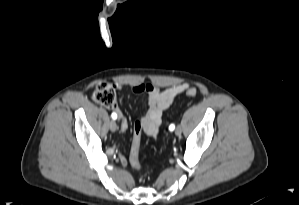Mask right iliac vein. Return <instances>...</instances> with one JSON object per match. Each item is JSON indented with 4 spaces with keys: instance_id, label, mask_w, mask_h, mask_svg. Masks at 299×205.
I'll use <instances>...</instances> for the list:
<instances>
[{
    "instance_id": "63e3f726",
    "label": "right iliac vein",
    "mask_w": 299,
    "mask_h": 205,
    "mask_svg": "<svg viewBox=\"0 0 299 205\" xmlns=\"http://www.w3.org/2000/svg\"><path fill=\"white\" fill-rule=\"evenodd\" d=\"M109 128L112 132H116L117 130V124L114 120H112L110 123H109Z\"/></svg>"
}]
</instances>
